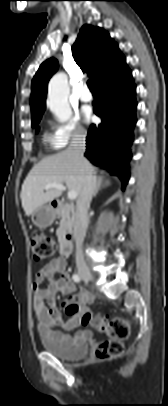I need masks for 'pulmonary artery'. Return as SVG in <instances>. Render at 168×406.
Instances as JSON below:
<instances>
[{"label":"pulmonary artery","instance_id":"obj_1","mask_svg":"<svg viewBox=\"0 0 168 406\" xmlns=\"http://www.w3.org/2000/svg\"><path fill=\"white\" fill-rule=\"evenodd\" d=\"M79 98L82 102H90L92 101L93 97L89 89L84 86L79 94Z\"/></svg>","mask_w":168,"mask_h":406}]
</instances>
